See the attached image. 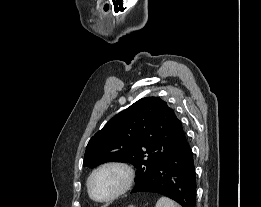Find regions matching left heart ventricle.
Masks as SVG:
<instances>
[{
    "mask_svg": "<svg viewBox=\"0 0 261 207\" xmlns=\"http://www.w3.org/2000/svg\"><path fill=\"white\" fill-rule=\"evenodd\" d=\"M124 175L118 169H105L97 173L92 180V192L98 199L113 195L123 184Z\"/></svg>",
    "mask_w": 261,
    "mask_h": 207,
    "instance_id": "1",
    "label": "left heart ventricle"
}]
</instances>
